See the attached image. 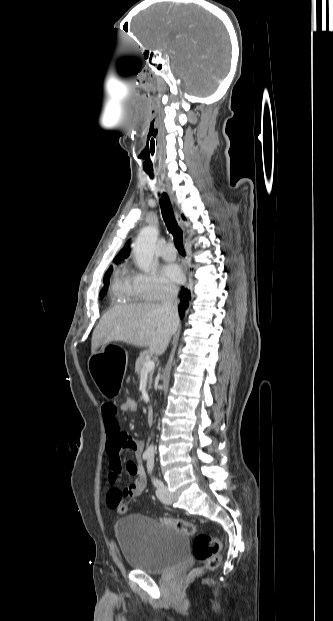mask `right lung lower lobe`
<instances>
[{
	"instance_id": "right-lung-lower-lobe-1",
	"label": "right lung lower lobe",
	"mask_w": 333,
	"mask_h": 621,
	"mask_svg": "<svg viewBox=\"0 0 333 621\" xmlns=\"http://www.w3.org/2000/svg\"><path fill=\"white\" fill-rule=\"evenodd\" d=\"M179 298H180V304L178 308H179L180 317L182 318L185 314V310L188 307L189 300L191 299L190 291L187 288L182 287Z\"/></svg>"
}]
</instances>
